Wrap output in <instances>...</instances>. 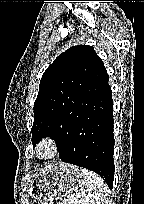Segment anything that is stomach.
I'll list each match as a JSON object with an SVG mask.
<instances>
[{"label":"stomach","instance_id":"0dacf381","mask_svg":"<svg viewBox=\"0 0 144 204\" xmlns=\"http://www.w3.org/2000/svg\"><path fill=\"white\" fill-rule=\"evenodd\" d=\"M80 170L71 165L53 164L41 170L29 192L38 204H54L57 199L73 194L78 188Z\"/></svg>","mask_w":144,"mask_h":204}]
</instances>
